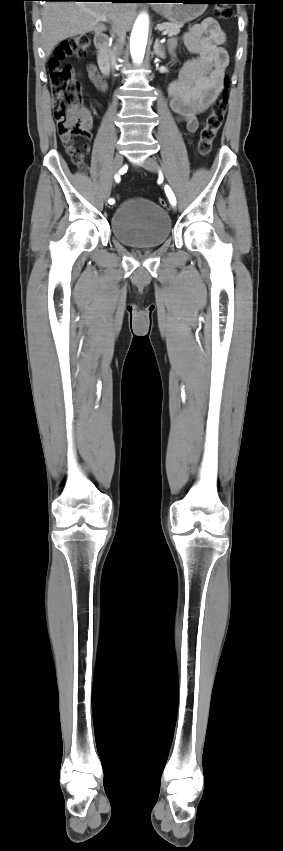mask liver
<instances>
[{
	"instance_id": "1",
	"label": "liver",
	"mask_w": 283,
	"mask_h": 851,
	"mask_svg": "<svg viewBox=\"0 0 283 851\" xmlns=\"http://www.w3.org/2000/svg\"><path fill=\"white\" fill-rule=\"evenodd\" d=\"M137 4L132 2H47L42 11V42L46 57L64 39L107 30L96 15H105L112 31L132 27Z\"/></svg>"
}]
</instances>
